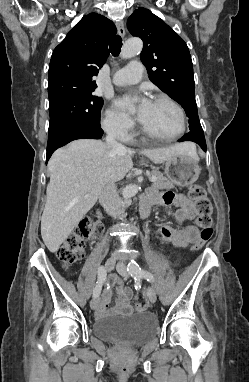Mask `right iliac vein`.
I'll use <instances>...</instances> for the list:
<instances>
[{"instance_id": "right-iliac-vein-1", "label": "right iliac vein", "mask_w": 249, "mask_h": 382, "mask_svg": "<svg viewBox=\"0 0 249 382\" xmlns=\"http://www.w3.org/2000/svg\"><path fill=\"white\" fill-rule=\"evenodd\" d=\"M115 263H116V259L115 257H111L109 259L106 260L105 262V268L107 271H111L113 270L114 266H115ZM98 302H99V299L98 297H93V299L91 300L90 302V307L91 309H96L97 305H98Z\"/></svg>"}]
</instances>
